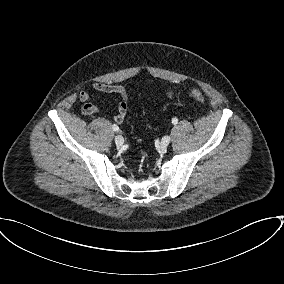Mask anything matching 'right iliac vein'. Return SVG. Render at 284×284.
<instances>
[{
  "label": "right iliac vein",
  "instance_id": "right-iliac-vein-1",
  "mask_svg": "<svg viewBox=\"0 0 284 284\" xmlns=\"http://www.w3.org/2000/svg\"><path fill=\"white\" fill-rule=\"evenodd\" d=\"M115 143L118 146H121L124 143V138L121 135H116L115 136Z\"/></svg>",
  "mask_w": 284,
  "mask_h": 284
}]
</instances>
